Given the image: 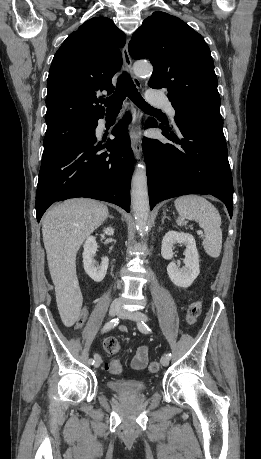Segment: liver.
<instances>
[{"instance_id": "liver-1", "label": "liver", "mask_w": 261, "mask_h": 459, "mask_svg": "<svg viewBox=\"0 0 261 459\" xmlns=\"http://www.w3.org/2000/svg\"><path fill=\"white\" fill-rule=\"evenodd\" d=\"M108 208L88 198H74L51 208L42 220V235L56 301L64 321L78 316L81 294L76 276V255L85 241L108 217Z\"/></svg>"}]
</instances>
